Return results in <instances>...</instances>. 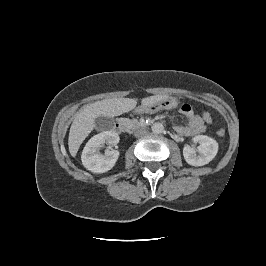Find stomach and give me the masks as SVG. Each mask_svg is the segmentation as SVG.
I'll return each mask as SVG.
<instances>
[{
  "label": "stomach",
  "instance_id": "0dacf381",
  "mask_svg": "<svg viewBox=\"0 0 266 266\" xmlns=\"http://www.w3.org/2000/svg\"><path fill=\"white\" fill-rule=\"evenodd\" d=\"M166 103H168V105H166ZM173 103H174L173 99L166 98L162 101L155 102L149 105H142V109L145 112L154 113L163 108L172 107ZM163 104H165L166 106H163Z\"/></svg>",
  "mask_w": 266,
  "mask_h": 266
}]
</instances>
